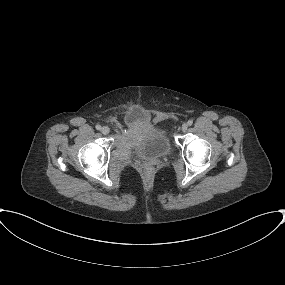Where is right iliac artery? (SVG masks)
<instances>
[{
	"instance_id": "82829eb1",
	"label": "right iliac artery",
	"mask_w": 285,
	"mask_h": 285,
	"mask_svg": "<svg viewBox=\"0 0 285 285\" xmlns=\"http://www.w3.org/2000/svg\"><path fill=\"white\" fill-rule=\"evenodd\" d=\"M96 129H97V130H100V129H101V126H100V125H96Z\"/></svg>"
}]
</instances>
